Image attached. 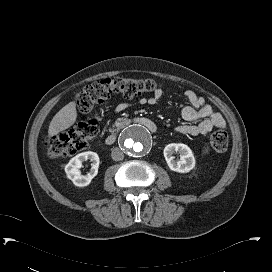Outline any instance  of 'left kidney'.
Instances as JSON below:
<instances>
[{"mask_svg": "<svg viewBox=\"0 0 272 272\" xmlns=\"http://www.w3.org/2000/svg\"><path fill=\"white\" fill-rule=\"evenodd\" d=\"M178 152L180 160H175L173 154ZM164 157L170 170L178 173H188L195 167L192 150L182 143H171L164 148Z\"/></svg>", "mask_w": 272, "mask_h": 272, "instance_id": "left-kidney-1", "label": "left kidney"}]
</instances>
